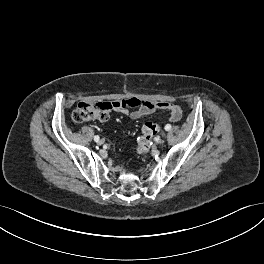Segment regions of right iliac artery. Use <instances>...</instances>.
<instances>
[{"instance_id": "82829eb1", "label": "right iliac artery", "mask_w": 264, "mask_h": 264, "mask_svg": "<svg viewBox=\"0 0 264 264\" xmlns=\"http://www.w3.org/2000/svg\"><path fill=\"white\" fill-rule=\"evenodd\" d=\"M94 140L97 142L99 140V136L98 135L94 136Z\"/></svg>"}]
</instances>
